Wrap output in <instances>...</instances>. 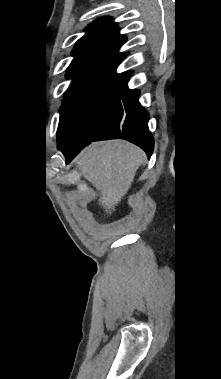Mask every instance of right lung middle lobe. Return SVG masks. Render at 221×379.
Segmentation results:
<instances>
[{"label":"right lung middle lobe","mask_w":221,"mask_h":379,"mask_svg":"<svg viewBox=\"0 0 221 379\" xmlns=\"http://www.w3.org/2000/svg\"><path fill=\"white\" fill-rule=\"evenodd\" d=\"M124 81H96L65 92L57 136L63 142L93 139L111 118Z\"/></svg>","instance_id":"1"}]
</instances>
